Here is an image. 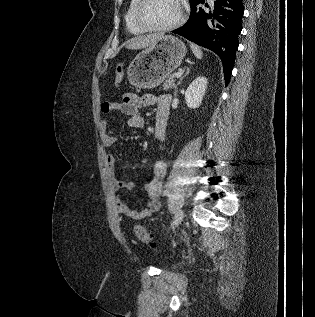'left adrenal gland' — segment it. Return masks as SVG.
<instances>
[{
    "mask_svg": "<svg viewBox=\"0 0 315 317\" xmlns=\"http://www.w3.org/2000/svg\"><path fill=\"white\" fill-rule=\"evenodd\" d=\"M189 72H190V68H187L186 73H185V74L180 78V80L178 81L177 85L175 86L174 96L177 95V86L182 83V80L189 74Z\"/></svg>",
    "mask_w": 315,
    "mask_h": 317,
    "instance_id": "1",
    "label": "left adrenal gland"
}]
</instances>
